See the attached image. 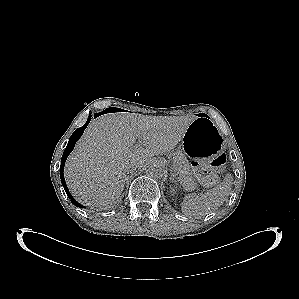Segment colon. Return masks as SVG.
Segmentation results:
<instances>
[{
    "mask_svg": "<svg viewBox=\"0 0 299 299\" xmlns=\"http://www.w3.org/2000/svg\"><path fill=\"white\" fill-rule=\"evenodd\" d=\"M192 168L197 178L206 184L214 183L217 180V175L226 165V156L218 155L211 162L192 161Z\"/></svg>",
    "mask_w": 299,
    "mask_h": 299,
    "instance_id": "5ec220e1",
    "label": "colon"
}]
</instances>
